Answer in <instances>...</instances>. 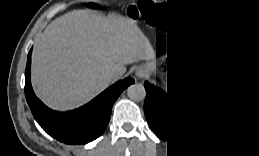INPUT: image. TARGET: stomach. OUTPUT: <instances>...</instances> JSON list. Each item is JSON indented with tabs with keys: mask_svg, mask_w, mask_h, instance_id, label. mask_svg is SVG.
<instances>
[{
	"mask_svg": "<svg viewBox=\"0 0 259 156\" xmlns=\"http://www.w3.org/2000/svg\"><path fill=\"white\" fill-rule=\"evenodd\" d=\"M153 64L154 72H158V74H160L161 76H166V71L169 67V64L166 59H160L157 63Z\"/></svg>",
	"mask_w": 259,
	"mask_h": 156,
	"instance_id": "0dacf381",
	"label": "stomach"
}]
</instances>
